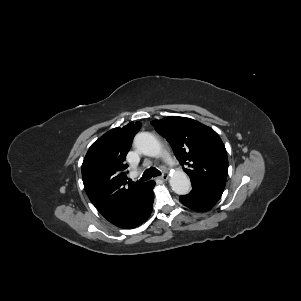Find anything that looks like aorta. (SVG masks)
I'll return each instance as SVG.
<instances>
[{"mask_svg":"<svg viewBox=\"0 0 301 301\" xmlns=\"http://www.w3.org/2000/svg\"><path fill=\"white\" fill-rule=\"evenodd\" d=\"M134 145L142 154L150 157H156L161 153L160 142L149 132L138 133L134 138ZM169 183L172 190L178 195H186L190 192V179L182 170L175 171L171 175Z\"/></svg>","mask_w":301,"mask_h":301,"instance_id":"1","label":"aorta"}]
</instances>
